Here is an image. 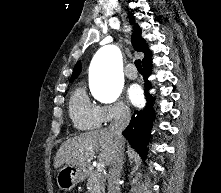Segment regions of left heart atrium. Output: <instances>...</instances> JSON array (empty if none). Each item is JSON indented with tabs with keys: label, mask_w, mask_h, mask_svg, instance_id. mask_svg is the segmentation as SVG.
Returning <instances> with one entry per match:
<instances>
[{
	"label": "left heart atrium",
	"mask_w": 221,
	"mask_h": 193,
	"mask_svg": "<svg viewBox=\"0 0 221 193\" xmlns=\"http://www.w3.org/2000/svg\"><path fill=\"white\" fill-rule=\"evenodd\" d=\"M127 97L129 101L134 104L138 105L142 101V92L138 85H131L127 92Z\"/></svg>",
	"instance_id": "39dd6f15"
}]
</instances>
